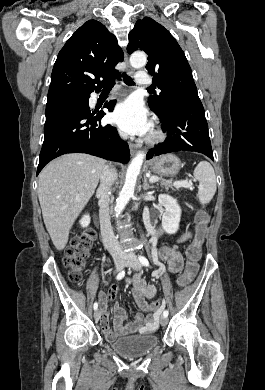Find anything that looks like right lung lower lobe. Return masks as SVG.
Masks as SVG:
<instances>
[{
	"label": "right lung lower lobe",
	"instance_id": "98d812e1",
	"mask_svg": "<svg viewBox=\"0 0 265 390\" xmlns=\"http://www.w3.org/2000/svg\"><path fill=\"white\" fill-rule=\"evenodd\" d=\"M88 99L47 103L37 175L49 161L65 153H87L123 164L129 161L128 144L115 127L101 125L105 113L99 108L91 109ZM114 106L115 101L104 105L110 112Z\"/></svg>",
	"mask_w": 265,
	"mask_h": 390
}]
</instances>
